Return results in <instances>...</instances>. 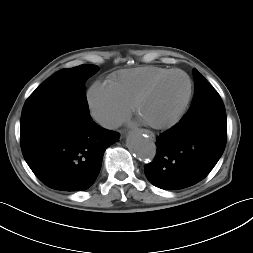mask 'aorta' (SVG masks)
<instances>
[{"mask_svg": "<svg viewBox=\"0 0 253 253\" xmlns=\"http://www.w3.org/2000/svg\"><path fill=\"white\" fill-rule=\"evenodd\" d=\"M127 145L131 153L139 160H152L156 155V145L147 135L132 132L127 138Z\"/></svg>", "mask_w": 253, "mask_h": 253, "instance_id": "762f6f07", "label": "aorta"}]
</instances>
